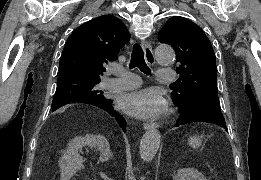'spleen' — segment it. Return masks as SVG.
<instances>
[{
	"label": "spleen",
	"mask_w": 261,
	"mask_h": 180,
	"mask_svg": "<svg viewBox=\"0 0 261 180\" xmlns=\"http://www.w3.org/2000/svg\"><path fill=\"white\" fill-rule=\"evenodd\" d=\"M191 148H200L201 146V140L199 138V136H191V138H189L188 140Z\"/></svg>",
	"instance_id": "obj_1"
}]
</instances>
